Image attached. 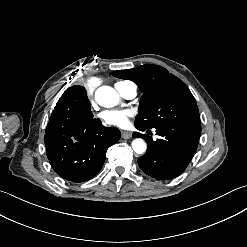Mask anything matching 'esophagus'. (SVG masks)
I'll use <instances>...</instances> for the list:
<instances>
[{
    "label": "esophagus",
    "instance_id": "esophagus-1",
    "mask_svg": "<svg viewBox=\"0 0 247 247\" xmlns=\"http://www.w3.org/2000/svg\"><path fill=\"white\" fill-rule=\"evenodd\" d=\"M121 136L123 139H130L132 137V133L130 131H123Z\"/></svg>",
    "mask_w": 247,
    "mask_h": 247
}]
</instances>
